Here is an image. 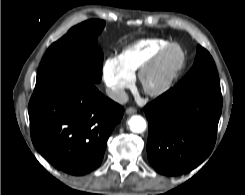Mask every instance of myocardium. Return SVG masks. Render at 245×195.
Segmentation results:
<instances>
[{
  "mask_svg": "<svg viewBox=\"0 0 245 195\" xmlns=\"http://www.w3.org/2000/svg\"><path fill=\"white\" fill-rule=\"evenodd\" d=\"M167 61L169 66L160 81L153 86L147 84V79L158 71ZM185 63V54L178 44H170L159 51L153 58L145 63L138 71V83L143 92L156 97L165 93L174 83Z\"/></svg>",
  "mask_w": 245,
  "mask_h": 195,
  "instance_id": "myocardium-1",
  "label": "myocardium"
}]
</instances>
